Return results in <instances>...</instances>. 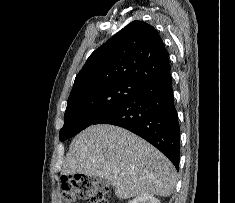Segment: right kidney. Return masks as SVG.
<instances>
[{
  "label": "right kidney",
  "mask_w": 235,
  "mask_h": 203,
  "mask_svg": "<svg viewBox=\"0 0 235 203\" xmlns=\"http://www.w3.org/2000/svg\"><path fill=\"white\" fill-rule=\"evenodd\" d=\"M128 203H160L152 194H141Z\"/></svg>",
  "instance_id": "obj_1"
}]
</instances>
